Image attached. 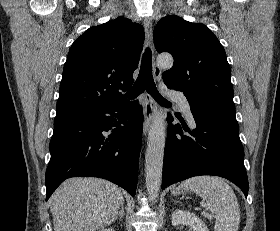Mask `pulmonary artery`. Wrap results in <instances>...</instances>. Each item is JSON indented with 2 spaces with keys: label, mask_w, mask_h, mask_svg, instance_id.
I'll return each instance as SVG.
<instances>
[{
  "label": "pulmonary artery",
  "mask_w": 280,
  "mask_h": 231,
  "mask_svg": "<svg viewBox=\"0 0 280 231\" xmlns=\"http://www.w3.org/2000/svg\"><path fill=\"white\" fill-rule=\"evenodd\" d=\"M167 96L176 101L178 105H189V102L183 92L179 91H167ZM182 113H192L191 110H181ZM189 123H194V118H186Z\"/></svg>",
  "instance_id": "pulmonary-artery-1"
}]
</instances>
